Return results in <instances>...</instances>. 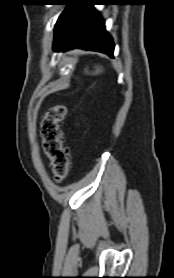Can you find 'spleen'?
<instances>
[{"label": "spleen", "instance_id": "3e777b00", "mask_svg": "<svg viewBox=\"0 0 174 278\" xmlns=\"http://www.w3.org/2000/svg\"><path fill=\"white\" fill-rule=\"evenodd\" d=\"M101 72V67H96V70L93 74H98ZM86 73H88V71L86 70Z\"/></svg>", "mask_w": 174, "mask_h": 278}]
</instances>
